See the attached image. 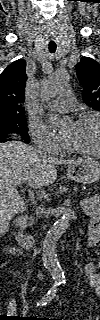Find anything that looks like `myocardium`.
I'll list each match as a JSON object with an SVG mask.
<instances>
[{
    "label": "myocardium",
    "mask_w": 100,
    "mask_h": 320,
    "mask_svg": "<svg viewBox=\"0 0 100 320\" xmlns=\"http://www.w3.org/2000/svg\"><path fill=\"white\" fill-rule=\"evenodd\" d=\"M87 120H95L97 121L98 125H99V141H98V145L95 149L93 150H87V149H83L79 146H77L75 143H73L72 141H70L69 139L65 138V144L67 145V147L72 150L75 151L77 153L80 154H84V155H97L98 153H100V117L98 114L95 113H85L80 115L75 121V124H81Z\"/></svg>",
    "instance_id": "1"
}]
</instances>
